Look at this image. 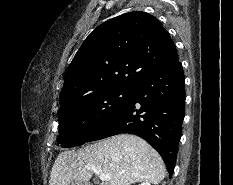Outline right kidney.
Listing matches in <instances>:
<instances>
[{
  "label": "right kidney",
  "instance_id": "right-kidney-1",
  "mask_svg": "<svg viewBox=\"0 0 233 185\" xmlns=\"http://www.w3.org/2000/svg\"><path fill=\"white\" fill-rule=\"evenodd\" d=\"M140 185H150V183L146 182V183H141Z\"/></svg>",
  "mask_w": 233,
  "mask_h": 185
}]
</instances>
